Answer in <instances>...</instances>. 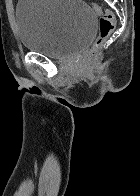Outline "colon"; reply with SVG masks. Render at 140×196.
Returning a JSON list of instances; mask_svg holds the SVG:
<instances>
[{
    "label": "colon",
    "mask_w": 140,
    "mask_h": 196,
    "mask_svg": "<svg viewBox=\"0 0 140 196\" xmlns=\"http://www.w3.org/2000/svg\"><path fill=\"white\" fill-rule=\"evenodd\" d=\"M91 6L98 15L99 32L92 47L81 62V70L83 71H87L94 65L104 43L115 27V16L110 10L104 9L97 3H92Z\"/></svg>",
    "instance_id": "colon-1"
}]
</instances>
